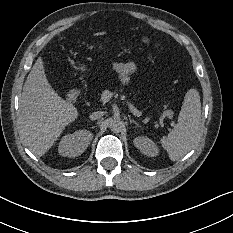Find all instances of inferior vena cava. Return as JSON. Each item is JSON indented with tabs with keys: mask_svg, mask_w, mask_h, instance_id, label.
I'll return each instance as SVG.
<instances>
[{
	"mask_svg": "<svg viewBox=\"0 0 233 233\" xmlns=\"http://www.w3.org/2000/svg\"><path fill=\"white\" fill-rule=\"evenodd\" d=\"M104 115V112L102 111H96L90 114V119L91 120H97L100 119Z\"/></svg>",
	"mask_w": 233,
	"mask_h": 233,
	"instance_id": "602c4592",
	"label": "inferior vena cava"
}]
</instances>
